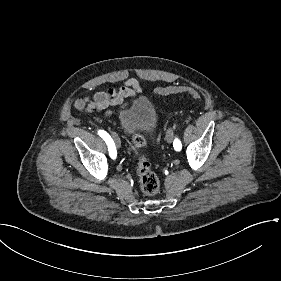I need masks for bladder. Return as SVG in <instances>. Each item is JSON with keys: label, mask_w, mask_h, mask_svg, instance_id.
I'll list each match as a JSON object with an SVG mask.
<instances>
[{"label": "bladder", "mask_w": 281, "mask_h": 281, "mask_svg": "<svg viewBox=\"0 0 281 281\" xmlns=\"http://www.w3.org/2000/svg\"><path fill=\"white\" fill-rule=\"evenodd\" d=\"M116 120L126 135L131 138L140 135L141 144L148 146L157 131L159 115L152 98L143 95L133 99L128 107L118 110Z\"/></svg>", "instance_id": "31cf9c89"}]
</instances>
